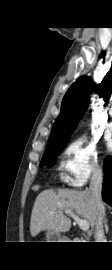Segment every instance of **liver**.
<instances>
[{
    "mask_svg": "<svg viewBox=\"0 0 112 270\" xmlns=\"http://www.w3.org/2000/svg\"><path fill=\"white\" fill-rule=\"evenodd\" d=\"M68 210L87 220L92 229L95 227L96 206L90 191L47 189L40 192L34 202L30 219L31 235L36 236L44 230L68 231L72 224L64 214Z\"/></svg>",
    "mask_w": 112,
    "mask_h": 270,
    "instance_id": "6515ba94",
    "label": "liver"
}]
</instances>
